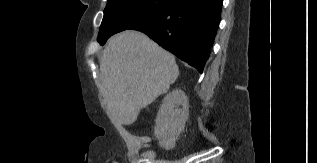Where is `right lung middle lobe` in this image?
<instances>
[{
	"mask_svg": "<svg viewBox=\"0 0 317 163\" xmlns=\"http://www.w3.org/2000/svg\"><path fill=\"white\" fill-rule=\"evenodd\" d=\"M170 0H108L100 26L98 41L104 44L111 35L148 19Z\"/></svg>",
	"mask_w": 317,
	"mask_h": 163,
	"instance_id": "1",
	"label": "right lung middle lobe"
}]
</instances>
